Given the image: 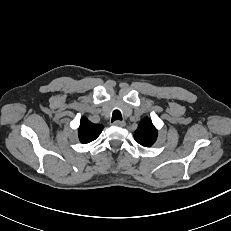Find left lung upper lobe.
Wrapping results in <instances>:
<instances>
[{"label":"left lung upper lobe","instance_id":"5c2ea615","mask_svg":"<svg viewBox=\"0 0 231 231\" xmlns=\"http://www.w3.org/2000/svg\"><path fill=\"white\" fill-rule=\"evenodd\" d=\"M157 138V130L151 120L144 118L134 133V139L144 147L152 146Z\"/></svg>","mask_w":231,"mask_h":231}]
</instances>
